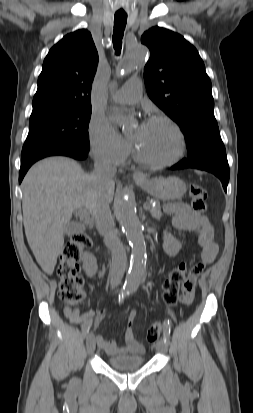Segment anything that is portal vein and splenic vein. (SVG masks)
I'll use <instances>...</instances> for the list:
<instances>
[{
  "mask_svg": "<svg viewBox=\"0 0 253 413\" xmlns=\"http://www.w3.org/2000/svg\"><path fill=\"white\" fill-rule=\"evenodd\" d=\"M144 208H145L146 210H149V209H150L149 204H148V203H145V204H144ZM78 214H79V216H80L81 218L88 217V212H87L86 209H84V208L78 209Z\"/></svg>",
  "mask_w": 253,
  "mask_h": 413,
  "instance_id": "portal-vein-and-splenic-vein-1",
  "label": "portal vein and splenic vein"
}]
</instances>
